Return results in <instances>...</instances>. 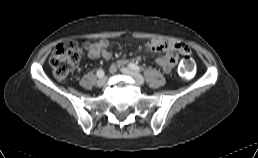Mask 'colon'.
I'll list each match as a JSON object with an SVG mask.
<instances>
[{
	"instance_id": "obj_1",
	"label": "colon",
	"mask_w": 258,
	"mask_h": 158,
	"mask_svg": "<svg viewBox=\"0 0 258 158\" xmlns=\"http://www.w3.org/2000/svg\"><path fill=\"white\" fill-rule=\"evenodd\" d=\"M81 49L76 42L70 41L56 47L50 56L49 64L56 79L66 80L71 74L74 66L79 62ZM194 62L186 54L179 67L181 78L188 80L193 76Z\"/></svg>"
}]
</instances>
